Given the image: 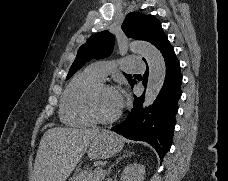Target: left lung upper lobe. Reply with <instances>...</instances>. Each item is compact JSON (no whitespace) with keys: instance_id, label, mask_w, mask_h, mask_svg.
Listing matches in <instances>:
<instances>
[{"instance_id":"1","label":"left lung upper lobe","mask_w":228,"mask_h":181,"mask_svg":"<svg viewBox=\"0 0 228 181\" xmlns=\"http://www.w3.org/2000/svg\"><path fill=\"white\" fill-rule=\"evenodd\" d=\"M127 37L145 40L157 47V45L167 38L162 30L160 22L153 15H144L139 12H131L127 15L121 26ZM114 47V36L108 31H102L92 35L82 45L75 61L73 62L66 79L73 76L87 61L95 58L101 59L111 54ZM130 85L135 81L133 76L125 74Z\"/></svg>"}]
</instances>
